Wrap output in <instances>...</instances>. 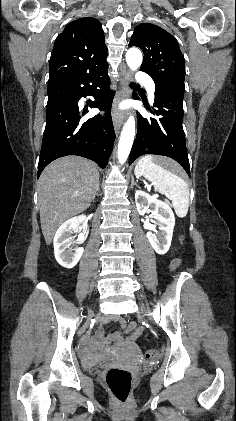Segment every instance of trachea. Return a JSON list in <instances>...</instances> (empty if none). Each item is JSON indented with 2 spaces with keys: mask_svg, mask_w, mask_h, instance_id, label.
<instances>
[{
  "mask_svg": "<svg viewBox=\"0 0 236 421\" xmlns=\"http://www.w3.org/2000/svg\"><path fill=\"white\" fill-rule=\"evenodd\" d=\"M131 86H133V87H134V86H136V84H135V83H131Z\"/></svg>",
  "mask_w": 236,
  "mask_h": 421,
  "instance_id": "3493384b",
  "label": "trachea"
}]
</instances>
